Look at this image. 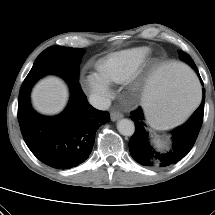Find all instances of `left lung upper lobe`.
Returning <instances> with one entry per match:
<instances>
[{"label":"left lung upper lobe","instance_id":"obj_1","mask_svg":"<svg viewBox=\"0 0 215 215\" xmlns=\"http://www.w3.org/2000/svg\"><path fill=\"white\" fill-rule=\"evenodd\" d=\"M179 55H180V58L183 61H185L186 63H188L196 71V73L198 72V69H197L194 61L191 59V57L187 53L179 50Z\"/></svg>","mask_w":215,"mask_h":215}]
</instances>
